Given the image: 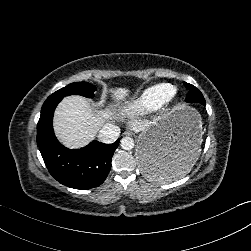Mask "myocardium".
I'll return each mask as SVG.
<instances>
[{"instance_id": "f54148a6", "label": "myocardium", "mask_w": 251, "mask_h": 251, "mask_svg": "<svg viewBox=\"0 0 251 251\" xmlns=\"http://www.w3.org/2000/svg\"><path fill=\"white\" fill-rule=\"evenodd\" d=\"M171 93L167 95L164 102L158 108L162 114L169 115L181 108L184 102L182 93L176 86H173Z\"/></svg>"}]
</instances>
